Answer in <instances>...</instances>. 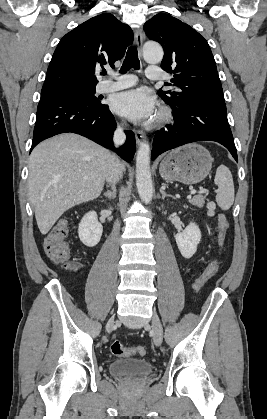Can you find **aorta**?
Returning <instances> with one entry per match:
<instances>
[{"mask_svg": "<svg viewBox=\"0 0 267 419\" xmlns=\"http://www.w3.org/2000/svg\"><path fill=\"white\" fill-rule=\"evenodd\" d=\"M144 59L149 63H159L163 58V49L159 44L147 42L143 48ZM136 186L139 196L145 204L152 200L153 184L150 172V146L148 141L140 143L136 156Z\"/></svg>", "mask_w": 267, "mask_h": 419, "instance_id": "obj_1", "label": "aorta"}]
</instances>
